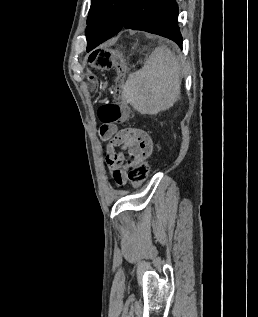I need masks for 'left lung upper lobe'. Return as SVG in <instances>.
<instances>
[{
  "instance_id": "5c2ea615",
  "label": "left lung upper lobe",
  "mask_w": 258,
  "mask_h": 317,
  "mask_svg": "<svg viewBox=\"0 0 258 317\" xmlns=\"http://www.w3.org/2000/svg\"><path fill=\"white\" fill-rule=\"evenodd\" d=\"M131 0H92L87 18L86 34L97 27L122 26Z\"/></svg>"
}]
</instances>
